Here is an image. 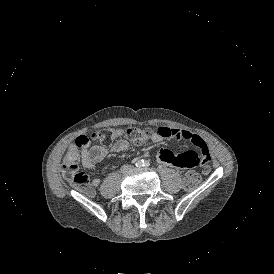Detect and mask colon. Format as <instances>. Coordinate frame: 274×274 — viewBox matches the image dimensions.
Listing matches in <instances>:
<instances>
[{
	"label": "colon",
	"mask_w": 274,
	"mask_h": 274,
	"mask_svg": "<svg viewBox=\"0 0 274 274\" xmlns=\"http://www.w3.org/2000/svg\"><path fill=\"white\" fill-rule=\"evenodd\" d=\"M122 135L129 138L133 143H140L150 136V132L147 129L130 127L124 132L120 128H105L96 133V136L102 139L104 145H111L116 138ZM74 140L75 146L69 147L62 165V171L74 185L89 188V173L78 167V150L79 147L88 146L87 135L86 133H75ZM201 178V174L195 171L190 172L185 176L184 184L188 188H194L200 183Z\"/></svg>",
	"instance_id": "colon-1"
}]
</instances>
